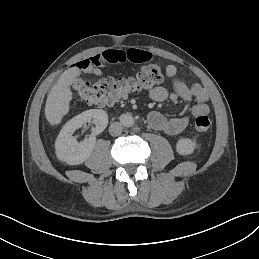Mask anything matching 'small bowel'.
Masks as SVG:
<instances>
[{"instance_id":"small-bowel-1","label":"small bowel","mask_w":259,"mask_h":259,"mask_svg":"<svg viewBox=\"0 0 259 259\" xmlns=\"http://www.w3.org/2000/svg\"><path fill=\"white\" fill-rule=\"evenodd\" d=\"M151 58L152 55L144 50H108L79 61L75 64V68L96 76H102L101 67L106 64L124 62L144 63L151 60ZM165 73L171 82L172 90L169 91L163 86L154 87L149 92L150 97L154 101L162 102L170 99L172 101H195L196 103L179 117L168 118L158 111H151L148 114L147 121L149 126L156 131H161L168 135H176L186 128L192 118L209 113V95L206 89L199 84L187 85L177 76V68L174 65H167Z\"/></svg>"}]
</instances>
